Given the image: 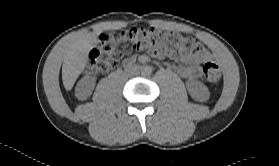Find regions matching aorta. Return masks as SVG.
Segmentation results:
<instances>
[{
  "instance_id": "762f6f07",
  "label": "aorta",
  "mask_w": 279,
  "mask_h": 166,
  "mask_svg": "<svg viewBox=\"0 0 279 166\" xmlns=\"http://www.w3.org/2000/svg\"><path fill=\"white\" fill-rule=\"evenodd\" d=\"M152 73V68L150 66H143L141 69V74L142 75H150Z\"/></svg>"
}]
</instances>
